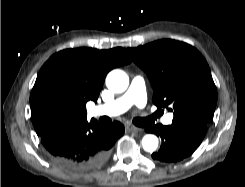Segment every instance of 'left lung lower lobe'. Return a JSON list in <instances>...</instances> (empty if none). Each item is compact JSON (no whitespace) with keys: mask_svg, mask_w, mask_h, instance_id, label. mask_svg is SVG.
<instances>
[{"mask_svg":"<svg viewBox=\"0 0 245 187\" xmlns=\"http://www.w3.org/2000/svg\"><path fill=\"white\" fill-rule=\"evenodd\" d=\"M145 131L160 136L161 148L152 154L154 160L176 163L189 157L202 142L207 125L201 123H172L168 126L157 124L146 127Z\"/></svg>","mask_w":245,"mask_h":187,"instance_id":"1","label":"left lung lower lobe"}]
</instances>
